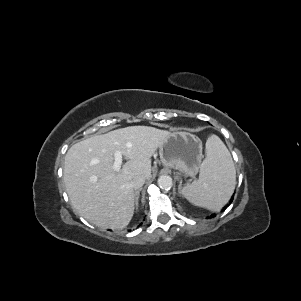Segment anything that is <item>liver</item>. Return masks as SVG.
<instances>
[{"label": "liver", "instance_id": "liver-1", "mask_svg": "<svg viewBox=\"0 0 301 301\" xmlns=\"http://www.w3.org/2000/svg\"><path fill=\"white\" fill-rule=\"evenodd\" d=\"M169 135L149 126H129L94 135L72 145L66 153L63 178L77 212L103 228L123 229L134 214L137 175L151 177V157ZM128 161L113 168L114 153Z\"/></svg>", "mask_w": 301, "mask_h": 301}]
</instances>
